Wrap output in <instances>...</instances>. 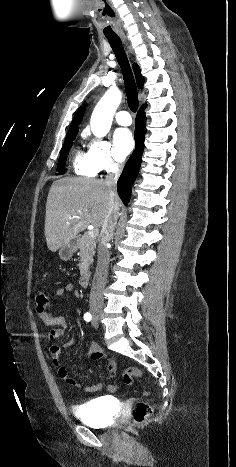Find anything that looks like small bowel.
I'll use <instances>...</instances> for the list:
<instances>
[{
    "label": "small bowel",
    "mask_w": 236,
    "mask_h": 467,
    "mask_svg": "<svg viewBox=\"0 0 236 467\" xmlns=\"http://www.w3.org/2000/svg\"><path fill=\"white\" fill-rule=\"evenodd\" d=\"M74 290V285L71 283L66 284L64 287L59 288L56 291V296L60 299L64 298L65 294L73 292ZM39 318L43 325L48 329V334H47V339L50 343L54 342L56 339L62 337L65 333L66 327H67V321L66 317L64 315H52L49 313H40ZM74 344V338H70L67 340L64 344V348L71 347ZM94 355H100V359H105L107 368L111 375H114L117 371V365L114 360L110 358H106L100 347L97 345H93L86 353L83 354V359L87 358H93ZM49 356L50 359L55 367H57V374L58 376L66 381L68 384L74 386V387H81V384L74 379L68 369L64 367L61 363L60 356H61V350L59 347L51 345L49 348ZM98 360V359H96ZM102 388L101 383H96L91 386L85 387L84 391L86 393H96L100 391ZM118 386L117 384H110L108 386V391L109 392H115L117 390Z\"/></svg>",
    "instance_id": "c3829d8e"
}]
</instances>
